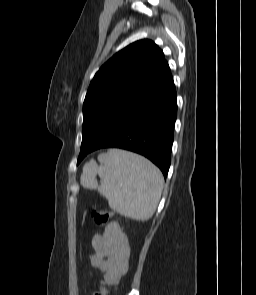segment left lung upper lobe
<instances>
[{
  "label": "left lung upper lobe",
  "instance_id": "5c2ea615",
  "mask_svg": "<svg viewBox=\"0 0 256 295\" xmlns=\"http://www.w3.org/2000/svg\"><path fill=\"white\" fill-rule=\"evenodd\" d=\"M172 79L162 50L151 40L136 41L116 53L99 69L88 88L81 151L96 144Z\"/></svg>",
  "mask_w": 256,
  "mask_h": 295
}]
</instances>
